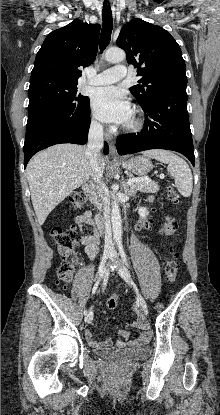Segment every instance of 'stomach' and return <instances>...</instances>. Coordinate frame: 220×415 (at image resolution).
<instances>
[{"instance_id":"0dacf381","label":"stomach","mask_w":220,"mask_h":415,"mask_svg":"<svg viewBox=\"0 0 220 415\" xmlns=\"http://www.w3.org/2000/svg\"><path fill=\"white\" fill-rule=\"evenodd\" d=\"M122 165L127 170L136 175H146L151 171L153 165L145 156H136L122 161Z\"/></svg>"}]
</instances>
